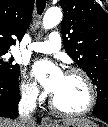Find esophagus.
I'll use <instances>...</instances> for the list:
<instances>
[{
    "label": "esophagus",
    "instance_id": "esophagus-1",
    "mask_svg": "<svg viewBox=\"0 0 108 127\" xmlns=\"http://www.w3.org/2000/svg\"><path fill=\"white\" fill-rule=\"evenodd\" d=\"M41 123L43 127H54L55 126V121L51 117H44Z\"/></svg>",
    "mask_w": 108,
    "mask_h": 127
}]
</instances>
